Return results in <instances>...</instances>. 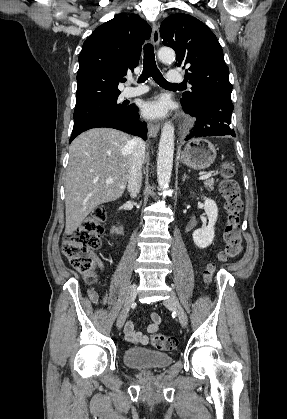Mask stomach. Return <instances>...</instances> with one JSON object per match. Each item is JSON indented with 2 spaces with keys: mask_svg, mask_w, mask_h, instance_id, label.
Listing matches in <instances>:
<instances>
[{
  "mask_svg": "<svg viewBox=\"0 0 287 419\" xmlns=\"http://www.w3.org/2000/svg\"><path fill=\"white\" fill-rule=\"evenodd\" d=\"M215 158L216 150L214 145L204 138L190 140L180 155V160L183 164L196 170L208 168Z\"/></svg>",
  "mask_w": 287,
  "mask_h": 419,
  "instance_id": "obj_1",
  "label": "stomach"
}]
</instances>
